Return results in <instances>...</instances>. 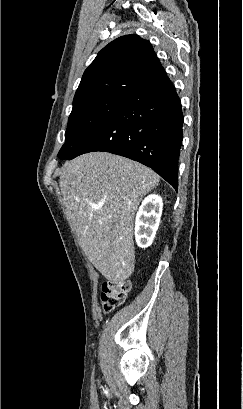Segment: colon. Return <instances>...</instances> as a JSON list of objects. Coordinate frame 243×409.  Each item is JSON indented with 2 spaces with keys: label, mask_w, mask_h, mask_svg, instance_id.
Listing matches in <instances>:
<instances>
[{
  "label": "colon",
  "mask_w": 243,
  "mask_h": 409,
  "mask_svg": "<svg viewBox=\"0 0 243 409\" xmlns=\"http://www.w3.org/2000/svg\"><path fill=\"white\" fill-rule=\"evenodd\" d=\"M131 285L126 280H110L104 282L101 291L103 311L108 313L120 306L130 292Z\"/></svg>",
  "instance_id": "5ec220e1"
}]
</instances>
